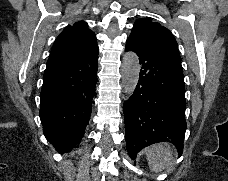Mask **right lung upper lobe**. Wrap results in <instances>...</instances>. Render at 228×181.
Here are the masks:
<instances>
[{
  "instance_id": "1",
  "label": "right lung upper lobe",
  "mask_w": 228,
  "mask_h": 181,
  "mask_svg": "<svg viewBox=\"0 0 228 181\" xmlns=\"http://www.w3.org/2000/svg\"><path fill=\"white\" fill-rule=\"evenodd\" d=\"M95 48H98L95 34L88 29L86 22L79 21L73 26H67L57 37L47 64L66 60Z\"/></svg>"
}]
</instances>
